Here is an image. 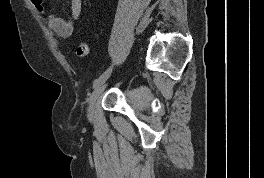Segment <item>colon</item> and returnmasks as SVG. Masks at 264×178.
<instances>
[{
	"instance_id": "obj_1",
	"label": "colon",
	"mask_w": 264,
	"mask_h": 178,
	"mask_svg": "<svg viewBox=\"0 0 264 178\" xmlns=\"http://www.w3.org/2000/svg\"><path fill=\"white\" fill-rule=\"evenodd\" d=\"M31 3L34 5V7L40 12L45 13L44 8V0H31ZM89 48L87 43L81 42L76 50V54L78 57H85L88 54Z\"/></svg>"
}]
</instances>
